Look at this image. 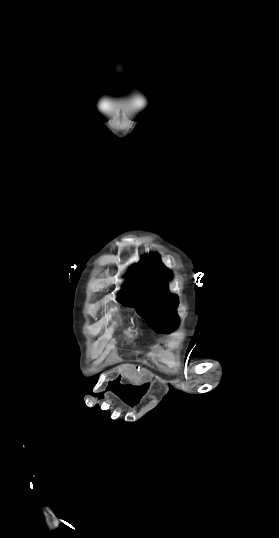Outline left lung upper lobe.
Instances as JSON below:
<instances>
[{
	"label": "left lung upper lobe",
	"instance_id": "obj_1",
	"mask_svg": "<svg viewBox=\"0 0 279 538\" xmlns=\"http://www.w3.org/2000/svg\"><path fill=\"white\" fill-rule=\"evenodd\" d=\"M135 267L127 275L129 280L119 292L118 301L136 307L137 313L157 332L176 329L178 303L167 290L170 277L159 255L152 253L149 259L143 258Z\"/></svg>",
	"mask_w": 279,
	"mask_h": 538
}]
</instances>
